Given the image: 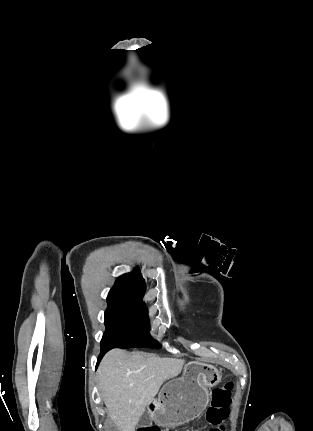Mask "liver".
<instances>
[{"label": "liver", "mask_w": 313, "mask_h": 431, "mask_svg": "<svg viewBox=\"0 0 313 431\" xmlns=\"http://www.w3.org/2000/svg\"><path fill=\"white\" fill-rule=\"evenodd\" d=\"M184 362L143 352L109 351L99 366L98 380L115 425L121 431H135L146 406L166 380L180 374Z\"/></svg>", "instance_id": "obj_1"}]
</instances>
